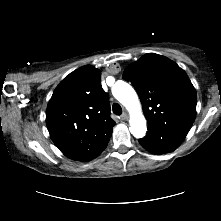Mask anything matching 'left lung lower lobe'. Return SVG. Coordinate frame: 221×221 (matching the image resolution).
I'll list each match as a JSON object with an SVG mask.
<instances>
[{"instance_id":"1","label":"left lung lower lobe","mask_w":221,"mask_h":221,"mask_svg":"<svg viewBox=\"0 0 221 221\" xmlns=\"http://www.w3.org/2000/svg\"><path fill=\"white\" fill-rule=\"evenodd\" d=\"M187 133L148 126L147 136L139 139V143L152 153H168L174 151L183 142Z\"/></svg>"}]
</instances>
